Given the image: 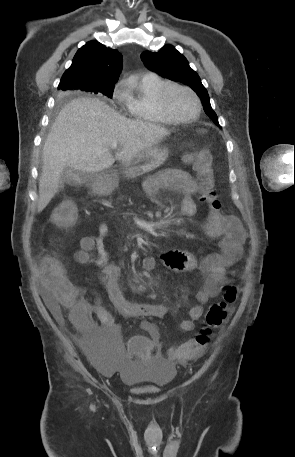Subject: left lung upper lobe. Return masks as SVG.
<instances>
[{"mask_svg": "<svg viewBox=\"0 0 295 457\" xmlns=\"http://www.w3.org/2000/svg\"><path fill=\"white\" fill-rule=\"evenodd\" d=\"M144 65L161 77L183 82L190 86L200 97L205 113L217 124L218 118L211 108L206 88L198 74L193 71L187 59L174 46L165 45L158 52L145 51L141 54Z\"/></svg>", "mask_w": 295, "mask_h": 457, "instance_id": "5c2ea615", "label": "left lung upper lobe"}]
</instances>
